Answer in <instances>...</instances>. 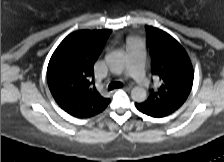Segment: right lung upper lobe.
Here are the masks:
<instances>
[{"label":"right lung upper lobe","mask_w":224,"mask_h":162,"mask_svg":"<svg viewBox=\"0 0 224 162\" xmlns=\"http://www.w3.org/2000/svg\"><path fill=\"white\" fill-rule=\"evenodd\" d=\"M110 33L111 30L74 32L60 43L49 61V89L57 104L74 117L94 116L110 102L92 86L93 65Z\"/></svg>","instance_id":"right-lung-upper-lobe-1"}]
</instances>
